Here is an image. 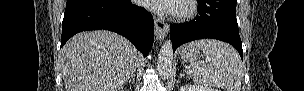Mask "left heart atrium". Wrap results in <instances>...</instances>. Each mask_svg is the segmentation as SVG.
I'll return each instance as SVG.
<instances>
[{
	"label": "left heart atrium",
	"instance_id": "obj_1",
	"mask_svg": "<svg viewBox=\"0 0 304 91\" xmlns=\"http://www.w3.org/2000/svg\"><path fill=\"white\" fill-rule=\"evenodd\" d=\"M178 3V0H145L144 6L155 11L174 13Z\"/></svg>",
	"mask_w": 304,
	"mask_h": 91
}]
</instances>
